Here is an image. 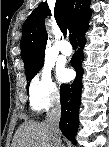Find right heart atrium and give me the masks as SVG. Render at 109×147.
<instances>
[{
  "mask_svg": "<svg viewBox=\"0 0 109 147\" xmlns=\"http://www.w3.org/2000/svg\"><path fill=\"white\" fill-rule=\"evenodd\" d=\"M29 95L30 102L38 110L49 108L58 101L59 91L48 66H44L32 79Z\"/></svg>",
  "mask_w": 109,
  "mask_h": 147,
  "instance_id": "obj_1",
  "label": "right heart atrium"
}]
</instances>
